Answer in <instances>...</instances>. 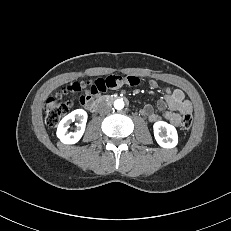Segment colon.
I'll return each instance as SVG.
<instances>
[{
    "instance_id": "1",
    "label": "colon",
    "mask_w": 231,
    "mask_h": 231,
    "mask_svg": "<svg viewBox=\"0 0 231 231\" xmlns=\"http://www.w3.org/2000/svg\"><path fill=\"white\" fill-rule=\"evenodd\" d=\"M90 80L74 82L68 85L61 91L57 92L54 96L50 97L46 101L45 111L46 117L45 122L49 127H55L61 118L69 113L72 108L70 101L65 100L64 97L69 93H77L81 89L82 85ZM192 125V115L186 114L183 116L181 121V129L183 131H188Z\"/></svg>"
}]
</instances>
